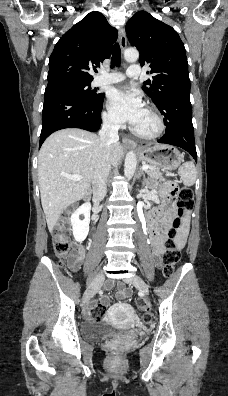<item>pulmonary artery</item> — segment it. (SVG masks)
Returning <instances> with one entry per match:
<instances>
[{"label": "pulmonary artery", "mask_w": 228, "mask_h": 396, "mask_svg": "<svg viewBox=\"0 0 228 396\" xmlns=\"http://www.w3.org/2000/svg\"><path fill=\"white\" fill-rule=\"evenodd\" d=\"M140 68L138 65H131L127 71L126 74L122 73H111V74H106L103 73L99 76H97L94 80V84L96 86H101V85H107V84H114V83H119L125 79V77H130V78H135L140 75Z\"/></svg>", "instance_id": "obj_1"}]
</instances>
